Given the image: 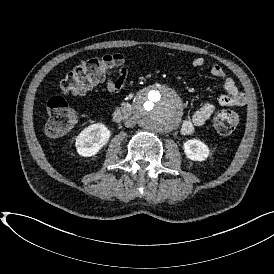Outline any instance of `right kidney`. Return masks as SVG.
Here are the masks:
<instances>
[{
	"instance_id": "obj_1",
	"label": "right kidney",
	"mask_w": 274,
	"mask_h": 274,
	"mask_svg": "<svg viewBox=\"0 0 274 274\" xmlns=\"http://www.w3.org/2000/svg\"><path fill=\"white\" fill-rule=\"evenodd\" d=\"M111 131L103 123H94L84 128L75 139V149L79 156L89 158L107 145Z\"/></svg>"
}]
</instances>
